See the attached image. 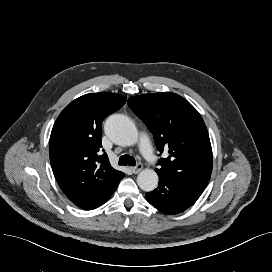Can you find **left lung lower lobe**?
Wrapping results in <instances>:
<instances>
[{
	"label": "left lung lower lobe",
	"instance_id": "0a47b994",
	"mask_svg": "<svg viewBox=\"0 0 272 272\" xmlns=\"http://www.w3.org/2000/svg\"><path fill=\"white\" fill-rule=\"evenodd\" d=\"M205 187L168 176H159V185L146 194L148 202L165 214H177L192 206Z\"/></svg>",
	"mask_w": 272,
	"mask_h": 272
}]
</instances>
